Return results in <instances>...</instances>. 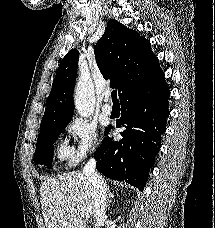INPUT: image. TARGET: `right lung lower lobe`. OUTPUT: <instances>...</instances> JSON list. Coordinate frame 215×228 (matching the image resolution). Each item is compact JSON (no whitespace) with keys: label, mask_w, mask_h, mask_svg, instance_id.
I'll use <instances>...</instances> for the list:
<instances>
[{"label":"right lung lower lobe","mask_w":215,"mask_h":228,"mask_svg":"<svg viewBox=\"0 0 215 228\" xmlns=\"http://www.w3.org/2000/svg\"><path fill=\"white\" fill-rule=\"evenodd\" d=\"M169 89L164 74L132 83L121 99L117 127H126L120 142L106 137L96 150V168L113 180L125 181L143 190L149 168L155 163L161 135L169 115ZM111 126L106 129L105 135Z\"/></svg>","instance_id":"obj_1"}]
</instances>
